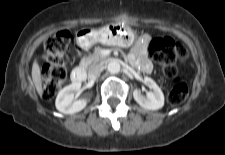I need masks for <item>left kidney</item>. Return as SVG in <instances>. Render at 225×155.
<instances>
[{"mask_svg":"<svg viewBox=\"0 0 225 155\" xmlns=\"http://www.w3.org/2000/svg\"><path fill=\"white\" fill-rule=\"evenodd\" d=\"M144 83L147 84L152 91L147 92L144 97L140 91L134 90L133 97L135 101L143 108L148 110H159L164 106V94L156 82L149 78L144 77Z\"/></svg>","mask_w":225,"mask_h":155,"instance_id":"left-kidney-1","label":"left kidney"}]
</instances>
